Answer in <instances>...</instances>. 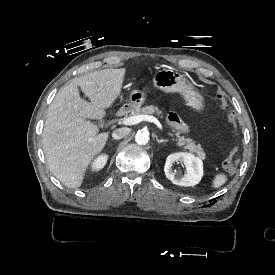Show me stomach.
<instances>
[{
  "label": "stomach",
  "instance_id": "obj_1",
  "mask_svg": "<svg viewBox=\"0 0 275 275\" xmlns=\"http://www.w3.org/2000/svg\"><path fill=\"white\" fill-rule=\"evenodd\" d=\"M152 84L162 92L180 94L186 106L195 111L202 112L206 107V100L202 92L197 89L191 80L177 70L163 68L155 71ZM147 98V93L144 90L136 89L129 92L128 101L122 105V111L127 113L141 109Z\"/></svg>",
  "mask_w": 275,
  "mask_h": 275
}]
</instances>
